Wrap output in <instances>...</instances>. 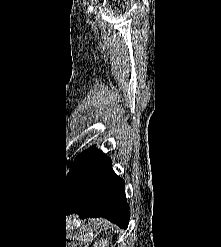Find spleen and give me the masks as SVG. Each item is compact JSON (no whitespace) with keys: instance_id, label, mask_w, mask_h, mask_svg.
<instances>
[{"instance_id":"3e777b00","label":"spleen","mask_w":221,"mask_h":247,"mask_svg":"<svg viewBox=\"0 0 221 247\" xmlns=\"http://www.w3.org/2000/svg\"><path fill=\"white\" fill-rule=\"evenodd\" d=\"M109 245V240H107V239H102V240H100L99 242H96L95 244H94V247H107Z\"/></svg>"}]
</instances>
